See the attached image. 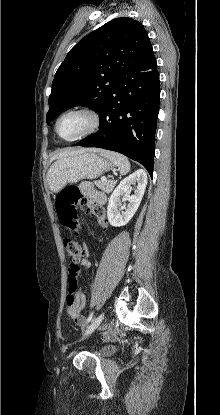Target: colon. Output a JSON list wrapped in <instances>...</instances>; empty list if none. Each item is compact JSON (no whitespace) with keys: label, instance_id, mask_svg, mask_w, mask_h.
<instances>
[{"label":"colon","instance_id":"1","mask_svg":"<svg viewBox=\"0 0 220 415\" xmlns=\"http://www.w3.org/2000/svg\"><path fill=\"white\" fill-rule=\"evenodd\" d=\"M83 199L84 196L76 186L65 187L57 197L56 211L59 221L70 231L79 232L80 230L76 205L83 201ZM92 210L96 217H103L105 215V208L101 205H94ZM63 246L67 257L71 260L69 266L68 293L66 298V303L71 305L74 302L75 295L78 291V263L82 259L83 249L78 242L69 238L64 239ZM109 337V334L102 335V338Z\"/></svg>","mask_w":220,"mask_h":415}]
</instances>
